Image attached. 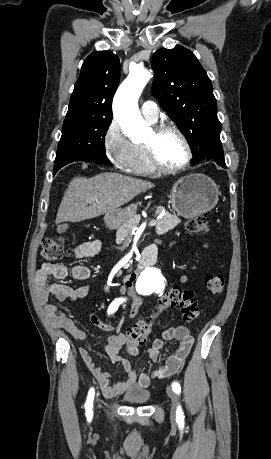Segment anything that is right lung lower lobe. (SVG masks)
Masks as SVG:
<instances>
[{
	"instance_id": "98d812e1",
	"label": "right lung lower lobe",
	"mask_w": 271,
	"mask_h": 459,
	"mask_svg": "<svg viewBox=\"0 0 271 459\" xmlns=\"http://www.w3.org/2000/svg\"><path fill=\"white\" fill-rule=\"evenodd\" d=\"M75 161H84V162H96V163H104V162H101L99 160H96L94 158H89V157H72V158H69L67 160H64V161H61L59 163H56L55 166H54V174H56V172L63 166H65L66 164L68 163H71V162H75Z\"/></svg>"
}]
</instances>
